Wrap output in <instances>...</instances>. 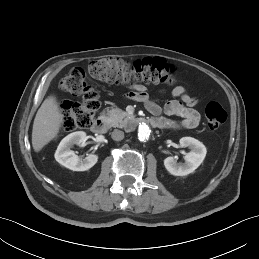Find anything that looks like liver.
Masks as SVG:
<instances>
[{
  "label": "liver",
  "mask_w": 259,
  "mask_h": 259,
  "mask_svg": "<svg viewBox=\"0 0 259 259\" xmlns=\"http://www.w3.org/2000/svg\"><path fill=\"white\" fill-rule=\"evenodd\" d=\"M62 122L63 114L56 97L51 95L44 100L34 119L32 146L35 152H39L58 135Z\"/></svg>",
  "instance_id": "6515ba94"
}]
</instances>
